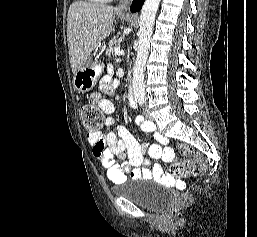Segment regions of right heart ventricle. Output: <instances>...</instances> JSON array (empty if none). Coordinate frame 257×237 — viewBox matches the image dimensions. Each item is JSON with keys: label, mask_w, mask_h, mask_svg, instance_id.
<instances>
[{"label": "right heart ventricle", "mask_w": 257, "mask_h": 237, "mask_svg": "<svg viewBox=\"0 0 257 237\" xmlns=\"http://www.w3.org/2000/svg\"><path fill=\"white\" fill-rule=\"evenodd\" d=\"M88 1L91 2V3L98 4V3L106 2V1H108V0H88Z\"/></svg>", "instance_id": "right-heart-ventricle-1"}]
</instances>
